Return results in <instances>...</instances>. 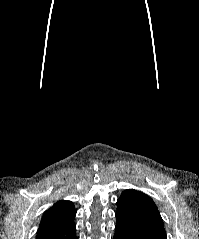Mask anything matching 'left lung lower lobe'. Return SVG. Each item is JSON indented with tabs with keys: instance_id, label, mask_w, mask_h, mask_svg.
I'll return each mask as SVG.
<instances>
[{
	"instance_id": "0a47b994",
	"label": "left lung lower lobe",
	"mask_w": 199,
	"mask_h": 239,
	"mask_svg": "<svg viewBox=\"0 0 199 239\" xmlns=\"http://www.w3.org/2000/svg\"><path fill=\"white\" fill-rule=\"evenodd\" d=\"M113 239H164L142 222L122 213H116Z\"/></svg>"
}]
</instances>
